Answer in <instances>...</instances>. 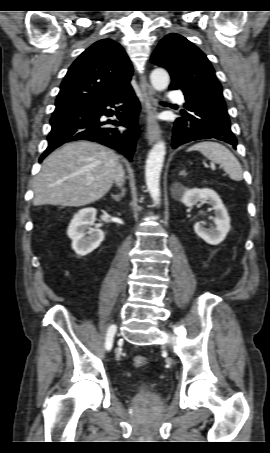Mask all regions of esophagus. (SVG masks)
Returning a JSON list of instances; mask_svg holds the SVG:
<instances>
[{
    "mask_svg": "<svg viewBox=\"0 0 270 453\" xmlns=\"http://www.w3.org/2000/svg\"><path fill=\"white\" fill-rule=\"evenodd\" d=\"M140 88L144 99L145 110L147 114V132L146 137L149 144H153L160 135V127L154 120V116L158 110L156 93L153 87L147 81L145 75L140 78Z\"/></svg>",
    "mask_w": 270,
    "mask_h": 453,
    "instance_id": "obj_1",
    "label": "esophagus"
}]
</instances>
